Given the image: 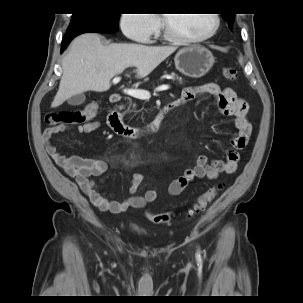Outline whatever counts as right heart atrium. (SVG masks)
Listing matches in <instances>:
<instances>
[{
  "mask_svg": "<svg viewBox=\"0 0 303 303\" xmlns=\"http://www.w3.org/2000/svg\"><path fill=\"white\" fill-rule=\"evenodd\" d=\"M119 27L126 38L150 43L152 36L160 29V21L153 14H122Z\"/></svg>",
  "mask_w": 303,
  "mask_h": 303,
  "instance_id": "obj_1",
  "label": "right heart atrium"
}]
</instances>
